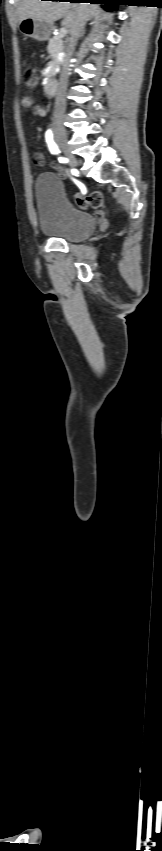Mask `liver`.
I'll return each instance as SVG.
<instances>
[{
    "mask_svg": "<svg viewBox=\"0 0 162 851\" xmlns=\"http://www.w3.org/2000/svg\"><path fill=\"white\" fill-rule=\"evenodd\" d=\"M81 11L87 15V20L100 14L99 6L89 3L21 0L18 7V16L19 22L25 18H32L38 21L53 23L56 20L64 18L62 22L63 26L71 31L75 27Z\"/></svg>",
    "mask_w": 162,
    "mask_h": 851,
    "instance_id": "6515ba94",
    "label": "liver"
}]
</instances>
